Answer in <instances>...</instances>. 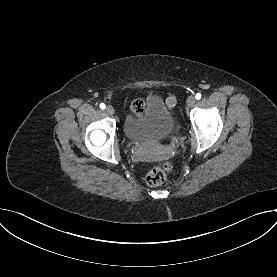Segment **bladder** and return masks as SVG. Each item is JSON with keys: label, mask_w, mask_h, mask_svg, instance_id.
<instances>
[{"label": "bladder", "mask_w": 277, "mask_h": 277, "mask_svg": "<svg viewBox=\"0 0 277 277\" xmlns=\"http://www.w3.org/2000/svg\"><path fill=\"white\" fill-rule=\"evenodd\" d=\"M175 127V118L160 96L150 95L140 112L128 114L124 133L134 142H150L168 136Z\"/></svg>", "instance_id": "1"}]
</instances>
